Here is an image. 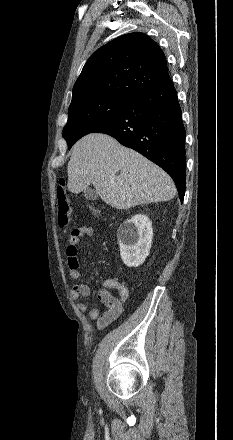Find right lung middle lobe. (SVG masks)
Segmentation results:
<instances>
[{"instance_id": "obj_1", "label": "right lung middle lobe", "mask_w": 233, "mask_h": 440, "mask_svg": "<svg viewBox=\"0 0 233 440\" xmlns=\"http://www.w3.org/2000/svg\"><path fill=\"white\" fill-rule=\"evenodd\" d=\"M127 99L96 97L72 103L68 109V121L63 129L70 149L84 135L111 121L128 103Z\"/></svg>"}]
</instances>
